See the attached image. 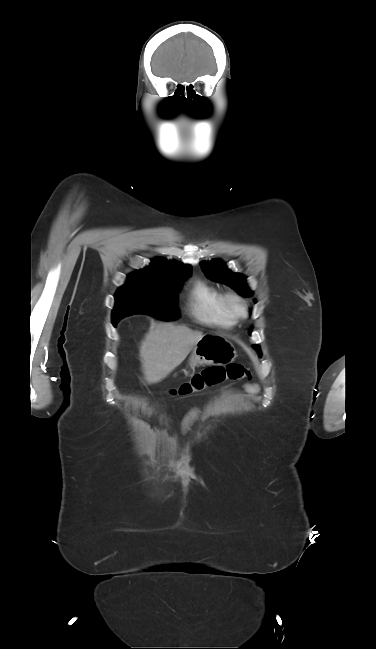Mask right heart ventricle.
Here are the masks:
<instances>
[{"label":"right heart ventricle","mask_w":376,"mask_h":649,"mask_svg":"<svg viewBox=\"0 0 376 649\" xmlns=\"http://www.w3.org/2000/svg\"><path fill=\"white\" fill-rule=\"evenodd\" d=\"M187 308L196 320L207 325L229 328L236 324L237 318L228 310L224 293L204 280L191 285Z\"/></svg>","instance_id":"1"}]
</instances>
